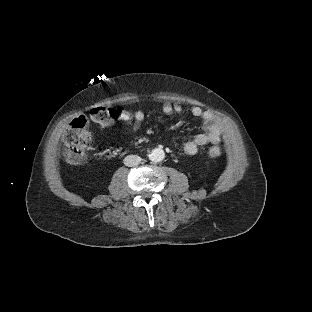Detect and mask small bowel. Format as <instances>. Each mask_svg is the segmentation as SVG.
Listing matches in <instances>:
<instances>
[{
	"instance_id": "small-bowel-1",
	"label": "small bowel",
	"mask_w": 312,
	"mask_h": 312,
	"mask_svg": "<svg viewBox=\"0 0 312 312\" xmlns=\"http://www.w3.org/2000/svg\"><path fill=\"white\" fill-rule=\"evenodd\" d=\"M162 110L165 114L181 113L183 106L178 103L165 101L162 105ZM191 115L195 118H200L205 129L204 133L195 135L184 145V151L188 155H194L198 148L207 144L219 143L222 139L223 129L220 120L210 111L204 110L202 107L194 105L190 108ZM128 123L133 131L140 129L145 121V115L142 111H133L128 116Z\"/></svg>"
}]
</instances>
